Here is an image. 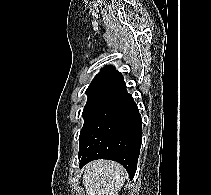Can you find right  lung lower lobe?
Masks as SVG:
<instances>
[{"label": "right lung lower lobe", "instance_id": "1", "mask_svg": "<svg viewBox=\"0 0 211 195\" xmlns=\"http://www.w3.org/2000/svg\"><path fill=\"white\" fill-rule=\"evenodd\" d=\"M142 143V119L126 87L110 98L80 144V167L96 159L120 163L134 177Z\"/></svg>", "mask_w": 211, "mask_h": 195}]
</instances>
